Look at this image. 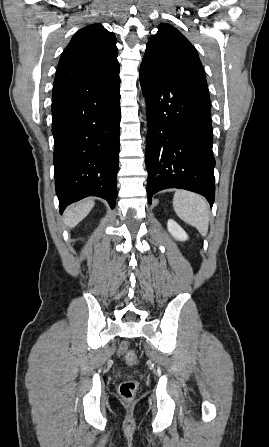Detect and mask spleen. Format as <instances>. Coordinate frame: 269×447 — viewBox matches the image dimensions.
<instances>
[{"instance_id": "3e777b00", "label": "spleen", "mask_w": 269, "mask_h": 447, "mask_svg": "<svg viewBox=\"0 0 269 447\" xmlns=\"http://www.w3.org/2000/svg\"><path fill=\"white\" fill-rule=\"evenodd\" d=\"M173 208L183 222L194 225L201 235H206L209 225V206L203 196L185 192V190H176Z\"/></svg>"}]
</instances>
